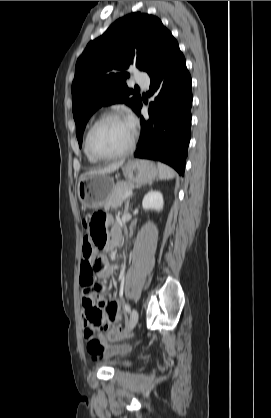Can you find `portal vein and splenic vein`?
<instances>
[{
    "instance_id": "1",
    "label": "portal vein and splenic vein",
    "mask_w": 271,
    "mask_h": 418,
    "mask_svg": "<svg viewBox=\"0 0 271 418\" xmlns=\"http://www.w3.org/2000/svg\"><path fill=\"white\" fill-rule=\"evenodd\" d=\"M132 193H133V192H132V190H131V191H128V192H126L123 198H124V199H125V198H128L130 195H132Z\"/></svg>"
}]
</instances>
